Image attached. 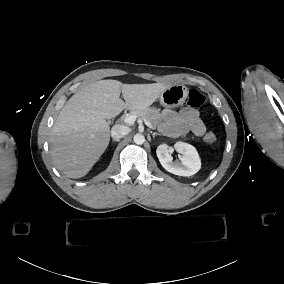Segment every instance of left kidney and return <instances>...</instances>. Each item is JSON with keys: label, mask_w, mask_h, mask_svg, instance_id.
<instances>
[{"label": "left kidney", "mask_w": 284, "mask_h": 284, "mask_svg": "<svg viewBox=\"0 0 284 284\" xmlns=\"http://www.w3.org/2000/svg\"><path fill=\"white\" fill-rule=\"evenodd\" d=\"M175 150L185 156L181 163L172 161L171 154ZM156 154L162 167L178 176L194 175L201 167L196 149L187 143L177 142L173 146H170L168 143H162L157 146Z\"/></svg>", "instance_id": "1"}]
</instances>
